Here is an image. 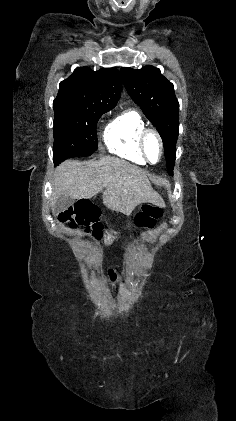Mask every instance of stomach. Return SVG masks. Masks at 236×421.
<instances>
[{
	"label": "stomach",
	"instance_id": "stomach-1",
	"mask_svg": "<svg viewBox=\"0 0 236 421\" xmlns=\"http://www.w3.org/2000/svg\"><path fill=\"white\" fill-rule=\"evenodd\" d=\"M114 235H116L114 231H110V233H107V235H105V245H111V243H113L114 239H116Z\"/></svg>",
	"mask_w": 236,
	"mask_h": 421
}]
</instances>
